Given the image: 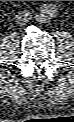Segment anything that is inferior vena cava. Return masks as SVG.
Returning <instances> with one entry per match:
<instances>
[{"mask_svg":"<svg viewBox=\"0 0 74 122\" xmlns=\"http://www.w3.org/2000/svg\"><path fill=\"white\" fill-rule=\"evenodd\" d=\"M29 17H30V12L28 10L20 11L17 15V19L21 23L27 22Z\"/></svg>","mask_w":74,"mask_h":122,"instance_id":"602c4592","label":"inferior vena cava"}]
</instances>
